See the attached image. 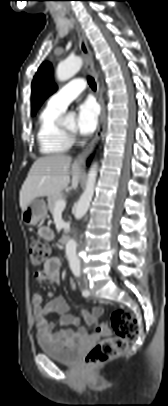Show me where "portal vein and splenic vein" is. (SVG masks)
I'll return each instance as SVG.
<instances>
[{
  "label": "portal vein and splenic vein",
  "mask_w": 168,
  "mask_h": 406,
  "mask_svg": "<svg viewBox=\"0 0 168 406\" xmlns=\"http://www.w3.org/2000/svg\"><path fill=\"white\" fill-rule=\"evenodd\" d=\"M65 206H66V202H65V200H58L56 203H55V211H62V210H64V208H65Z\"/></svg>",
  "instance_id": "obj_1"
}]
</instances>
